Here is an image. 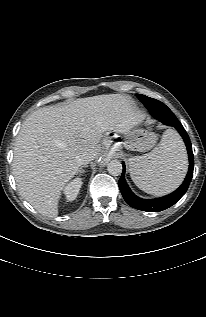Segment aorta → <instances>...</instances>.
<instances>
[{
  "label": "aorta",
  "instance_id": "obj_1",
  "mask_svg": "<svg viewBox=\"0 0 206 317\" xmlns=\"http://www.w3.org/2000/svg\"><path fill=\"white\" fill-rule=\"evenodd\" d=\"M122 164L119 160H112L107 165L108 172L113 176H118L122 173Z\"/></svg>",
  "mask_w": 206,
  "mask_h": 317
}]
</instances>
